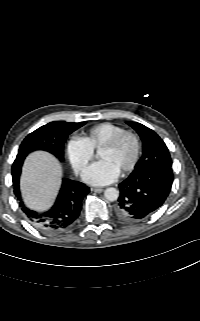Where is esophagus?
<instances>
[{
  "instance_id": "34e87169",
  "label": "esophagus",
  "mask_w": 200,
  "mask_h": 321,
  "mask_svg": "<svg viewBox=\"0 0 200 321\" xmlns=\"http://www.w3.org/2000/svg\"><path fill=\"white\" fill-rule=\"evenodd\" d=\"M91 190L94 191V192H96V193H101V192L104 191L103 188H92Z\"/></svg>"
}]
</instances>
